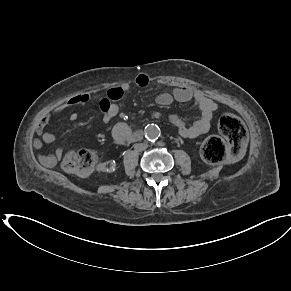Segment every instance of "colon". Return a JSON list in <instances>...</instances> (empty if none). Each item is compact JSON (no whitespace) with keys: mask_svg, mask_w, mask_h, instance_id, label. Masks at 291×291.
<instances>
[{"mask_svg":"<svg viewBox=\"0 0 291 291\" xmlns=\"http://www.w3.org/2000/svg\"><path fill=\"white\" fill-rule=\"evenodd\" d=\"M218 128L226 140L219 136H210L201 148L203 159L211 164L224 162L228 154L237 157L247 138L244 124L232 113H224L220 116ZM96 162L97 152L86 148L66 153L61 165L66 172L84 177L92 173Z\"/></svg>","mask_w":291,"mask_h":291,"instance_id":"5ec220e1","label":"colon"}]
</instances>
